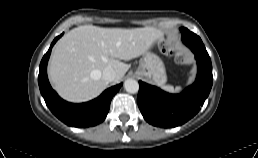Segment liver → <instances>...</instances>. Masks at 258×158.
Masks as SVG:
<instances>
[{"label": "liver", "instance_id": "6515ba94", "mask_svg": "<svg viewBox=\"0 0 258 158\" xmlns=\"http://www.w3.org/2000/svg\"><path fill=\"white\" fill-rule=\"evenodd\" d=\"M153 27L122 29L93 25L76 27L56 44L48 67L51 83L61 97L84 102L97 97L109 82L102 72L115 70L119 82L129 69L128 61L144 55L161 40Z\"/></svg>", "mask_w": 258, "mask_h": 158}]
</instances>
